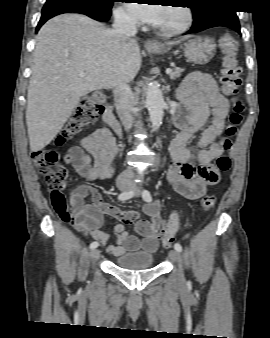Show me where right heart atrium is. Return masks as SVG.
<instances>
[{"label": "right heart atrium", "instance_id": "1", "mask_svg": "<svg viewBox=\"0 0 270 338\" xmlns=\"http://www.w3.org/2000/svg\"><path fill=\"white\" fill-rule=\"evenodd\" d=\"M116 17L119 22L127 24V25L137 24L136 18L126 7L118 8L116 11Z\"/></svg>", "mask_w": 270, "mask_h": 338}]
</instances>
